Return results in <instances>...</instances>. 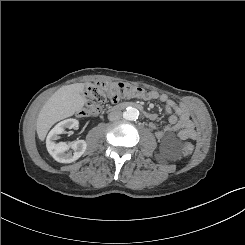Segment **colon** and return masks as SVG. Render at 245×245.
<instances>
[{"instance_id":"1","label":"colon","mask_w":245,"mask_h":245,"mask_svg":"<svg viewBox=\"0 0 245 245\" xmlns=\"http://www.w3.org/2000/svg\"><path fill=\"white\" fill-rule=\"evenodd\" d=\"M146 92L135 85L123 82L105 81L90 84L85 92L86 101L81 112L84 116L98 114L103 104L107 102L117 103L122 99L144 96ZM194 151V146L190 142H185L182 146V156H190Z\"/></svg>"}]
</instances>
